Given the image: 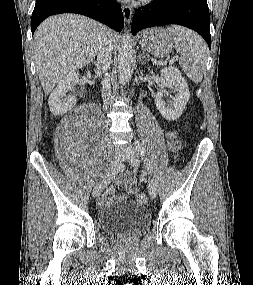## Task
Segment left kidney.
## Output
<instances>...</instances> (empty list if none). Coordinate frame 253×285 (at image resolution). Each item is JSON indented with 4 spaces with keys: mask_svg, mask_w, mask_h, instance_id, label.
<instances>
[{
    "mask_svg": "<svg viewBox=\"0 0 253 285\" xmlns=\"http://www.w3.org/2000/svg\"><path fill=\"white\" fill-rule=\"evenodd\" d=\"M160 73L162 77L161 89L155 95V105L166 120H177L190 98L188 84L176 67H165L160 70ZM166 87H174L176 92L175 98L169 104L163 100V95H168Z\"/></svg>",
    "mask_w": 253,
    "mask_h": 285,
    "instance_id": "5707ae66",
    "label": "left kidney"
}]
</instances>
